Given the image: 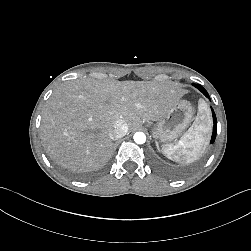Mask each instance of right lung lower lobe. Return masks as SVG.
<instances>
[{
	"label": "right lung lower lobe",
	"mask_w": 251,
	"mask_h": 251,
	"mask_svg": "<svg viewBox=\"0 0 251 251\" xmlns=\"http://www.w3.org/2000/svg\"><path fill=\"white\" fill-rule=\"evenodd\" d=\"M105 168L101 167L100 169H98L96 172H94L93 174L89 175V177H96L101 175L104 172Z\"/></svg>",
	"instance_id": "right-lung-lower-lobe-1"
}]
</instances>
